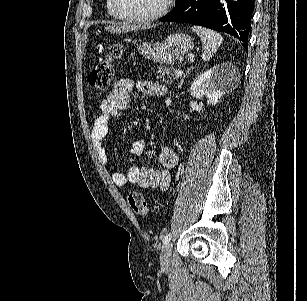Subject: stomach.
<instances>
[{"label": "stomach", "mask_w": 307, "mask_h": 301, "mask_svg": "<svg viewBox=\"0 0 307 301\" xmlns=\"http://www.w3.org/2000/svg\"><path fill=\"white\" fill-rule=\"evenodd\" d=\"M193 46L194 38H191L189 34L175 32V34H168L165 40H155V42H145L144 40V42L137 44L136 48L144 58L172 66Z\"/></svg>", "instance_id": "stomach-1"}]
</instances>
